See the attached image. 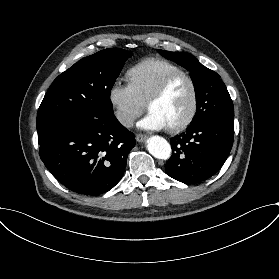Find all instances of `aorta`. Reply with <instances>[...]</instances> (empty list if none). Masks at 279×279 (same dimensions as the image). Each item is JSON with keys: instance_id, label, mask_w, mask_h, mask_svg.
Segmentation results:
<instances>
[{"instance_id": "762f6f07", "label": "aorta", "mask_w": 279, "mask_h": 279, "mask_svg": "<svg viewBox=\"0 0 279 279\" xmlns=\"http://www.w3.org/2000/svg\"><path fill=\"white\" fill-rule=\"evenodd\" d=\"M149 153L157 159L167 160L171 156V146L166 139L160 136H152L147 141Z\"/></svg>"}]
</instances>
